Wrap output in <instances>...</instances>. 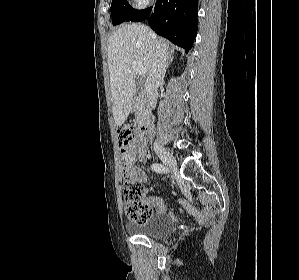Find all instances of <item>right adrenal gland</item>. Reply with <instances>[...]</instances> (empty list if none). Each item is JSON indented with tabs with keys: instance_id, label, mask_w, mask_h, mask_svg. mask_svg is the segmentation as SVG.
I'll use <instances>...</instances> for the list:
<instances>
[{
	"instance_id": "obj_1",
	"label": "right adrenal gland",
	"mask_w": 299,
	"mask_h": 280,
	"mask_svg": "<svg viewBox=\"0 0 299 280\" xmlns=\"http://www.w3.org/2000/svg\"><path fill=\"white\" fill-rule=\"evenodd\" d=\"M173 59H174L173 52L169 51L168 56H167V68L169 67V65L173 61Z\"/></svg>"
}]
</instances>
